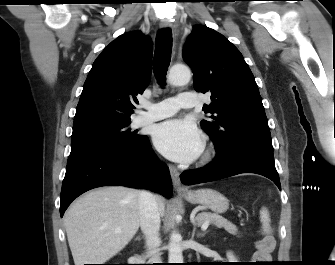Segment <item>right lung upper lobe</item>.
Returning <instances> with one entry per match:
<instances>
[{
  "instance_id": "obj_1",
  "label": "right lung upper lobe",
  "mask_w": 335,
  "mask_h": 265,
  "mask_svg": "<svg viewBox=\"0 0 335 265\" xmlns=\"http://www.w3.org/2000/svg\"><path fill=\"white\" fill-rule=\"evenodd\" d=\"M152 44L141 32L124 33L94 61L76 108L73 127L130 121L151 79Z\"/></svg>"
}]
</instances>
